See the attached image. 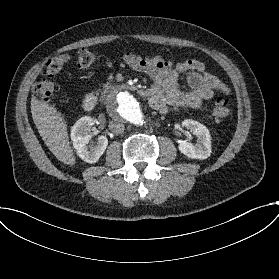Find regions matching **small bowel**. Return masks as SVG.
I'll list each match as a JSON object with an SVG mask.
<instances>
[{"mask_svg":"<svg viewBox=\"0 0 279 279\" xmlns=\"http://www.w3.org/2000/svg\"><path fill=\"white\" fill-rule=\"evenodd\" d=\"M126 64L152 80L149 88V106L161 113L172 109L199 108L213 98L216 91L227 93L228 88L215 75L205 71V64L197 59L173 61L159 55L126 53ZM188 73L189 88L179 85V75Z\"/></svg>","mask_w":279,"mask_h":279,"instance_id":"c3829d8e","label":"small bowel"}]
</instances>
